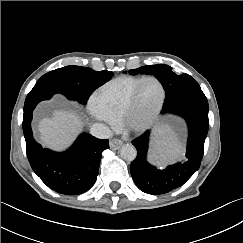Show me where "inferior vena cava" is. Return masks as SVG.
<instances>
[{"mask_svg": "<svg viewBox=\"0 0 243 243\" xmlns=\"http://www.w3.org/2000/svg\"><path fill=\"white\" fill-rule=\"evenodd\" d=\"M91 134L100 139H109L112 132L109 127L103 123H95L91 126Z\"/></svg>", "mask_w": 243, "mask_h": 243, "instance_id": "inferior-vena-cava-1", "label": "inferior vena cava"}]
</instances>
